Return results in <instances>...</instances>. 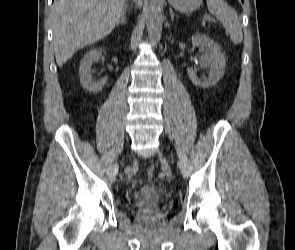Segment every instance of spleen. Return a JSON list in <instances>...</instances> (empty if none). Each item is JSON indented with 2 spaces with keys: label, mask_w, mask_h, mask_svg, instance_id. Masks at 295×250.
<instances>
[{
  "label": "spleen",
  "mask_w": 295,
  "mask_h": 250,
  "mask_svg": "<svg viewBox=\"0 0 295 250\" xmlns=\"http://www.w3.org/2000/svg\"><path fill=\"white\" fill-rule=\"evenodd\" d=\"M209 11L222 24L230 34V39L234 44L243 41V33L236 11L224 0H206Z\"/></svg>",
  "instance_id": "spleen-1"
}]
</instances>
